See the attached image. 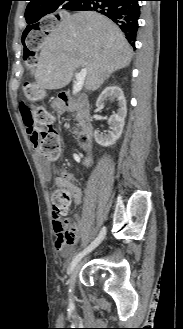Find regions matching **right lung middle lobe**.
<instances>
[{
    "label": "right lung middle lobe",
    "instance_id": "obj_1",
    "mask_svg": "<svg viewBox=\"0 0 183 329\" xmlns=\"http://www.w3.org/2000/svg\"><path fill=\"white\" fill-rule=\"evenodd\" d=\"M78 0H62V1H57L55 3H53L49 8H47L44 12V14L37 16L35 19L31 20L30 22H27L29 24H33L32 26H30V28L26 29L25 34L32 28H37L38 27V23L36 24V22L43 16H45L46 14H50V13H57L62 9L67 10L70 6L74 5L75 2ZM27 21V20H26ZM31 22H35V23H31ZM25 38V36L23 37V39Z\"/></svg>",
    "mask_w": 183,
    "mask_h": 329
}]
</instances>
